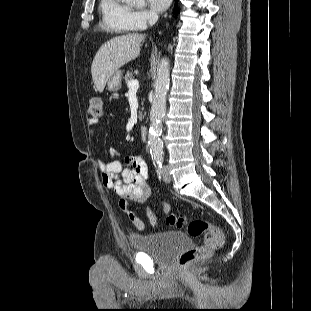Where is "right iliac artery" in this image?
I'll use <instances>...</instances> for the list:
<instances>
[{"label": "right iliac artery", "instance_id": "1", "mask_svg": "<svg viewBox=\"0 0 311 311\" xmlns=\"http://www.w3.org/2000/svg\"><path fill=\"white\" fill-rule=\"evenodd\" d=\"M154 165L156 167V170H157V174L159 176V178H161V175H162V161L161 160H156L154 161Z\"/></svg>", "mask_w": 311, "mask_h": 311}]
</instances>
